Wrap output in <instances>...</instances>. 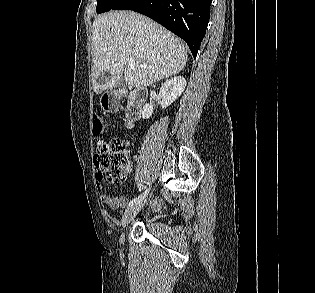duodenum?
<instances>
[{"instance_id": "duodenum-1", "label": "duodenum", "mask_w": 315, "mask_h": 293, "mask_svg": "<svg viewBox=\"0 0 315 293\" xmlns=\"http://www.w3.org/2000/svg\"><path fill=\"white\" fill-rule=\"evenodd\" d=\"M147 90L142 87L131 89H123L118 92L119 96L127 95L128 104L126 107V121L128 125H132L141 117L143 103L147 98Z\"/></svg>"}]
</instances>
